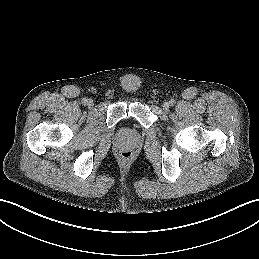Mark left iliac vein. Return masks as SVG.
Segmentation results:
<instances>
[{
	"label": "left iliac vein",
	"mask_w": 259,
	"mask_h": 259,
	"mask_svg": "<svg viewBox=\"0 0 259 259\" xmlns=\"http://www.w3.org/2000/svg\"><path fill=\"white\" fill-rule=\"evenodd\" d=\"M169 107H170V104H169L168 102H165V103L163 104V110H164L165 112H167V111L169 110Z\"/></svg>",
	"instance_id": "obj_1"
}]
</instances>
